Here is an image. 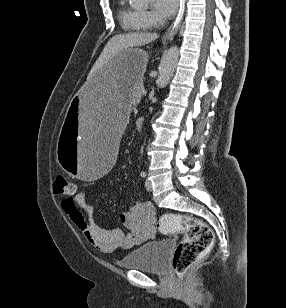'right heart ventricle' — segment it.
Returning <instances> with one entry per match:
<instances>
[{"mask_svg": "<svg viewBox=\"0 0 286 308\" xmlns=\"http://www.w3.org/2000/svg\"><path fill=\"white\" fill-rule=\"evenodd\" d=\"M118 18L126 31L141 32L149 28L144 22L143 12L131 7L126 0H120Z\"/></svg>", "mask_w": 286, "mask_h": 308, "instance_id": "right-heart-ventricle-1", "label": "right heart ventricle"}]
</instances>
